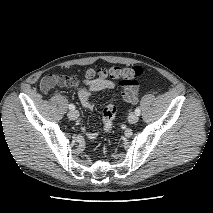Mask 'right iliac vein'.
I'll use <instances>...</instances> for the list:
<instances>
[{"label": "right iliac vein", "mask_w": 213, "mask_h": 213, "mask_svg": "<svg viewBox=\"0 0 213 213\" xmlns=\"http://www.w3.org/2000/svg\"><path fill=\"white\" fill-rule=\"evenodd\" d=\"M70 120H76L79 117V113L75 110L68 112L67 114Z\"/></svg>", "instance_id": "right-iliac-vein-1"}]
</instances>
